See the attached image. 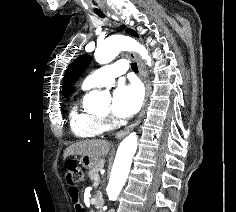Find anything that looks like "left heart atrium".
Listing matches in <instances>:
<instances>
[{"label":"left heart atrium","instance_id":"left-heart-atrium-1","mask_svg":"<svg viewBox=\"0 0 236 212\" xmlns=\"http://www.w3.org/2000/svg\"><path fill=\"white\" fill-rule=\"evenodd\" d=\"M143 103V90L137 83L121 84L112 96V112L118 117H131Z\"/></svg>","mask_w":236,"mask_h":212}]
</instances>
